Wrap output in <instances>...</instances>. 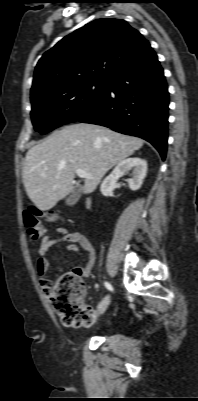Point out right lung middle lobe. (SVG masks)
<instances>
[{
	"label": "right lung middle lobe",
	"mask_w": 198,
	"mask_h": 401,
	"mask_svg": "<svg viewBox=\"0 0 198 401\" xmlns=\"http://www.w3.org/2000/svg\"><path fill=\"white\" fill-rule=\"evenodd\" d=\"M107 86L108 81H88L39 95L31 101L35 130L45 134L76 121L95 106Z\"/></svg>",
	"instance_id": "1"
}]
</instances>
